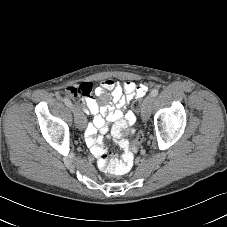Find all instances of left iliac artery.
I'll list each match as a JSON object with an SVG mask.
<instances>
[{
    "label": "left iliac artery",
    "instance_id": "obj_1",
    "mask_svg": "<svg viewBox=\"0 0 227 227\" xmlns=\"http://www.w3.org/2000/svg\"><path fill=\"white\" fill-rule=\"evenodd\" d=\"M159 91L158 89H153L151 92L152 97H156L158 95Z\"/></svg>",
    "mask_w": 227,
    "mask_h": 227
}]
</instances>
